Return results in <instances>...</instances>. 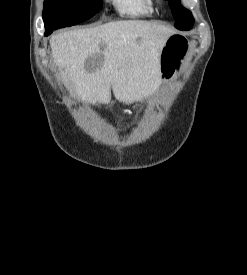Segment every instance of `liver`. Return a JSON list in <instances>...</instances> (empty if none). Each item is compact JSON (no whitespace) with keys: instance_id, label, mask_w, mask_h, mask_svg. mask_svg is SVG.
Listing matches in <instances>:
<instances>
[{"instance_id":"6515ba94","label":"liver","mask_w":247,"mask_h":275,"mask_svg":"<svg viewBox=\"0 0 247 275\" xmlns=\"http://www.w3.org/2000/svg\"><path fill=\"white\" fill-rule=\"evenodd\" d=\"M172 34L153 22L120 20L59 33L50 46L72 95L85 104H109L112 89L118 101L129 105L159 88L160 53Z\"/></svg>"}]
</instances>
